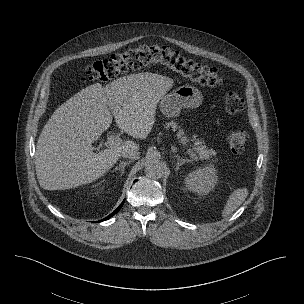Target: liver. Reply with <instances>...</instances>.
Masks as SVG:
<instances>
[{
  "mask_svg": "<svg viewBox=\"0 0 304 304\" xmlns=\"http://www.w3.org/2000/svg\"><path fill=\"white\" fill-rule=\"evenodd\" d=\"M173 79L155 73L120 77L105 87L90 85L59 106L37 142L35 168L45 190H64L90 183L106 173L123 151L138 149L125 140L119 146L93 152V143L113 117L134 138L145 139L155 123L156 108L172 88Z\"/></svg>",
  "mask_w": 304,
  "mask_h": 304,
  "instance_id": "obj_1",
  "label": "liver"
}]
</instances>
